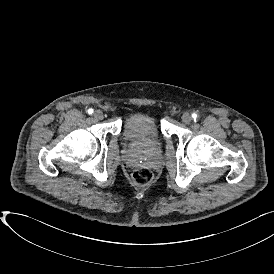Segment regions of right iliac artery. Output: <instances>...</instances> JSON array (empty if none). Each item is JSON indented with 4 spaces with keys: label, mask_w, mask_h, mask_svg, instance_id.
<instances>
[{
    "label": "right iliac artery",
    "mask_w": 274,
    "mask_h": 274,
    "mask_svg": "<svg viewBox=\"0 0 274 274\" xmlns=\"http://www.w3.org/2000/svg\"><path fill=\"white\" fill-rule=\"evenodd\" d=\"M94 111L92 108L88 109V114H92Z\"/></svg>",
    "instance_id": "right-iliac-artery-1"
}]
</instances>
